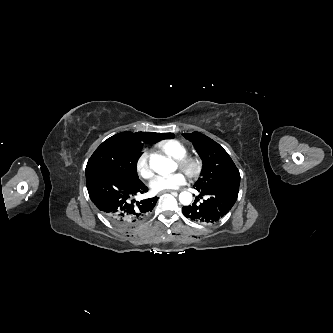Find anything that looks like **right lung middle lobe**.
<instances>
[{"label":"right lung middle lobe","mask_w":333,"mask_h":333,"mask_svg":"<svg viewBox=\"0 0 333 333\" xmlns=\"http://www.w3.org/2000/svg\"><path fill=\"white\" fill-rule=\"evenodd\" d=\"M157 137L172 138L174 134L157 133ZM141 154H133L122 133L116 134L95 150L87 162L86 173L92 170H104L130 180L139 181L136 166Z\"/></svg>","instance_id":"right-lung-middle-lobe-1"}]
</instances>
